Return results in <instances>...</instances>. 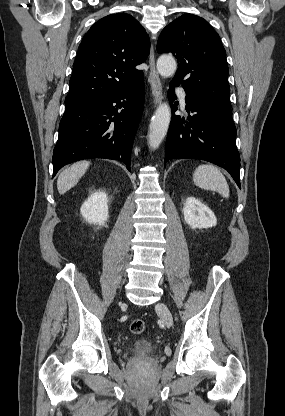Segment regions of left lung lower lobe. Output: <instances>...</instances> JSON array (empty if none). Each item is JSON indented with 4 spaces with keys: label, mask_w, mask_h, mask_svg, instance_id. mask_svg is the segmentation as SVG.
Listing matches in <instances>:
<instances>
[{
    "label": "left lung lower lobe",
    "mask_w": 285,
    "mask_h": 416,
    "mask_svg": "<svg viewBox=\"0 0 285 416\" xmlns=\"http://www.w3.org/2000/svg\"><path fill=\"white\" fill-rule=\"evenodd\" d=\"M175 86L171 81L168 91L171 103L176 98ZM185 102L186 111L192 115L185 120L172 114L164 165L172 159L205 160L226 169L241 188L240 156L230 106L198 100L188 94Z\"/></svg>",
    "instance_id": "1"
}]
</instances>
